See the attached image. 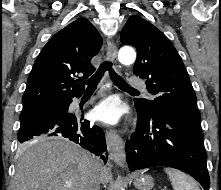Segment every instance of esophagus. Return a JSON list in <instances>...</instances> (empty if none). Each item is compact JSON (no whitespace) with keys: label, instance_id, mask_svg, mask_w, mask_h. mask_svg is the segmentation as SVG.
<instances>
[{"label":"esophagus","instance_id":"34e87169","mask_svg":"<svg viewBox=\"0 0 221 190\" xmlns=\"http://www.w3.org/2000/svg\"><path fill=\"white\" fill-rule=\"evenodd\" d=\"M107 56L112 60L113 64L117 66V46L112 39L107 40ZM108 80L109 76H108ZM106 142L109 151V157L118 166L123 167L126 155L124 152L123 140L117 134L116 130H106Z\"/></svg>","mask_w":221,"mask_h":190}]
</instances>
